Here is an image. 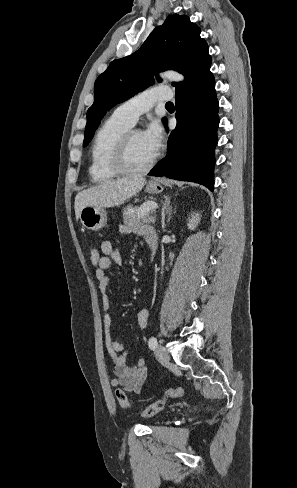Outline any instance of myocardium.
I'll return each mask as SVG.
<instances>
[{"label":"myocardium","instance_id":"myocardium-1","mask_svg":"<svg viewBox=\"0 0 297 488\" xmlns=\"http://www.w3.org/2000/svg\"><path fill=\"white\" fill-rule=\"evenodd\" d=\"M137 130H128L123 134V136L120 138L118 141L114 152L112 156V166L114 170L122 175H134V174H141L148 172L149 170L152 169V167L155 165L157 162L158 156L157 154L151 159V161L139 168H134L131 167L128 164V149H129V144L131 141L132 135L136 132Z\"/></svg>","mask_w":297,"mask_h":488}]
</instances>
